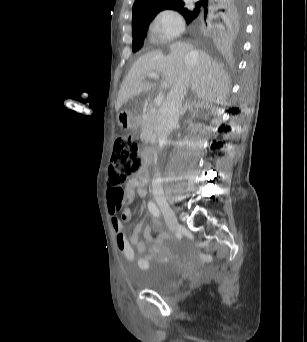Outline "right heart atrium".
<instances>
[{"label":"right heart atrium","instance_id":"right-heart-atrium-1","mask_svg":"<svg viewBox=\"0 0 307 342\" xmlns=\"http://www.w3.org/2000/svg\"><path fill=\"white\" fill-rule=\"evenodd\" d=\"M185 31L183 18L173 10L157 12L145 27V36L154 44H166L180 37Z\"/></svg>","mask_w":307,"mask_h":342}]
</instances>
